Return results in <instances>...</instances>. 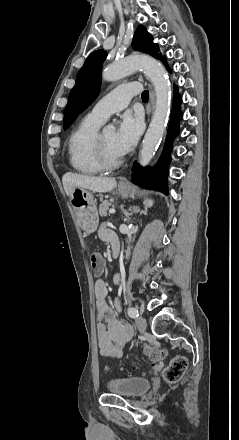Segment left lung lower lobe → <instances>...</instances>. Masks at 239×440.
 Segmentation results:
<instances>
[{
  "instance_id": "1",
  "label": "left lung lower lobe",
  "mask_w": 239,
  "mask_h": 440,
  "mask_svg": "<svg viewBox=\"0 0 239 440\" xmlns=\"http://www.w3.org/2000/svg\"><path fill=\"white\" fill-rule=\"evenodd\" d=\"M162 61L166 68L169 67L166 63V59L163 57ZM170 71V70H169ZM181 97L174 91L172 114L168 128V134L166 138L165 147L163 153L152 172L148 168H142L138 164L134 163L132 178L134 181L148 187L159 188L165 194H168L167 189V169L170 162L171 145L173 139L179 133V121L182 119V113L180 110Z\"/></svg>"
}]
</instances>
